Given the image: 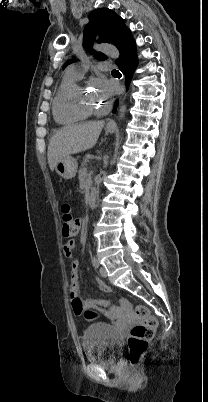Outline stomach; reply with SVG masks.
Listing matches in <instances>:
<instances>
[{
  "mask_svg": "<svg viewBox=\"0 0 208 402\" xmlns=\"http://www.w3.org/2000/svg\"><path fill=\"white\" fill-rule=\"evenodd\" d=\"M107 132H115L116 128L115 126H106ZM78 164L72 156H64L62 160H59L57 162L54 170L61 176V178H65V180H71V178H74L76 176Z\"/></svg>",
  "mask_w": 208,
  "mask_h": 402,
  "instance_id": "0dacf381",
  "label": "stomach"
}]
</instances>
